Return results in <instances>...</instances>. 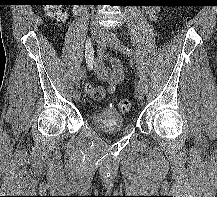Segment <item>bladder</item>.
Instances as JSON below:
<instances>
[{"mask_svg": "<svg viewBox=\"0 0 217 197\" xmlns=\"http://www.w3.org/2000/svg\"><path fill=\"white\" fill-rule=\"evenodd\" d=\"M91 121L95 128L106 134H115L127 130L124 117L116 112L107 115L94 114Z\"/></svg>", "mask_w": 217, "mask_h": 197, "instance_id": "31cf9c89", "label": "bladder"}]
</instances>
